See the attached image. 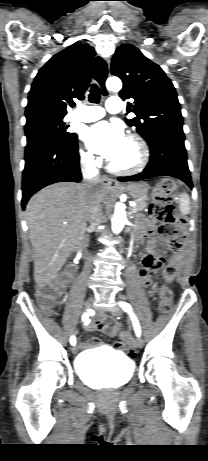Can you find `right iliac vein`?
Returning a JSON list of instances; mask_svg holds the SVG:
<instances>
[{
	"label": "right iliac vein",
	"mask_w": 208,
	"mask_h": 461,
	"mask_svg": "<svg viewBox=\"0 0 208 461\" xmlns=\"http://www.w3.org/2000/svg\"><path fill=\"white\" fill-rule=\"evenodd\" d=\"M93 302H94V296L91 295V296L87 299V301H86V303H85V308H86V310H88V309H90V308L92 307ZM71 351H72L73 354H76V353L78 352V346H77V345H74V346L72 347Z\"/></svg>",
	"instance_id": "63e3f726"
}]
</instances>
